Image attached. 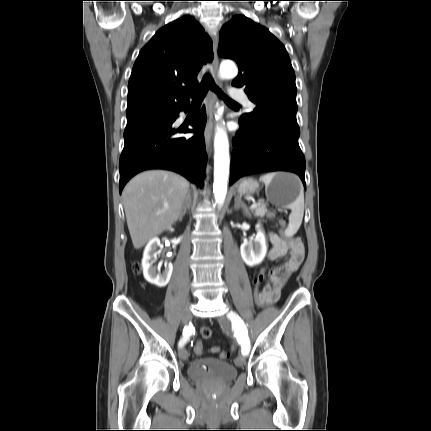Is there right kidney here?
<instances>
[{
	"label": "right kidney",
	"mask_w": 431,
	"mask_h": 431,
	"mask_svg": "<svg viewBox=\"0 0 431 431\" xmlns=\"http://www.w3.org/2000/svg\"><path fill=\"white\" fill-rule=\"evenodd\" d=\"M160 239H151L145 247L142 259V268L144 278L151 284L157 287H165L171 278L173 265L172 263L165 264V270L160 273V265H156L158 256V247L160 246Z\"/></svg>",
	"instance_id": "right-kidney-1"
}]
</instances>
